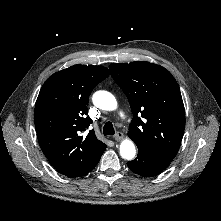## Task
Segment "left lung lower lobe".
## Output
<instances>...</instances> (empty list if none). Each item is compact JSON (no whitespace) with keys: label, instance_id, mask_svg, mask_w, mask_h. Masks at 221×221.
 I'll use <instances>...</instances> for the list:
<instances>
[{"label":"left lung lower lobe","instance_id":"1","mask_svg":"<svg viewBox=\"0 0 221 221\" xmlns=\"http://www.w3.org/2000/svg\"><path fill=\"white\" fill-rule=\"evenodd\" d=\"M171 161L138 151L136 159L129 161L127 166L138 175L152 177L162 172Z\"/></svg>","mask_w":221,"mask_h":221}]
</instances>
